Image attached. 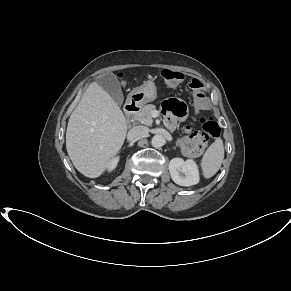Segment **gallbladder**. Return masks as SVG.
Listing matches in <instances>:
<instances>
[{
    "label": "gallbladder",
    "mask_w": 291,
    "mask_h": 291,
    "mask_svg": "<svg viewBox=\"0 0 291 291\" xmlns=\"http://www.w3.org/2000/svg\"><path fill=\"white\" fill-rule=\"evenodd\" d=\"M98 85L104 89L112 99L119 105L123 103L124 97L117 77L113 73H107L99 77Z\"/></svg>",
    "instance_id": "bac80fb5"
}]
</instances>
